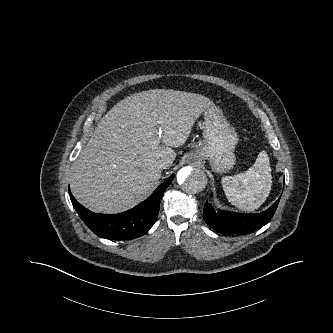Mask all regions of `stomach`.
<instances>
[{"mask_svg":"<svg viewBox=\"0 0 333 333\" xmlns=\"http://www.w3.org/2000/svg\"><path fill=\"white\" fill-rule=\"evenodd\" d=\"M204 143L193 153L197 161L208 160L213 171L224 172L235 164L234 150L238 142L235 129L215 105L203 112Z\"/></svg>","mask_w":333,"mask_h":333,"instance_id":"obj_1","label":"stomach"}]
</instances>
